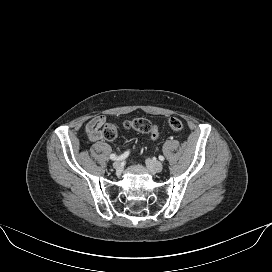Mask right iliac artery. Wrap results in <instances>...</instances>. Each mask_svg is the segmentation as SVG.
I'll return each instance as SVG.
<instances>
[{"label": "right iliac artery", "mask_w": 272, "mask_h": 272, "mask_svg": "<svg viewBox=\"0 0 272 272\" xmlns=\"http://www.w3.org/2000/svg\"><path fill=\"white\" fill-rule=\"evenodd\" d=\"M128 155H129V151H126V152H124L122 155H120V156H116L115 154H111L110 155V159L111 160H123V159H125L126 157H128Z\"/></svg>", "instance_id": "right-iliac-artery-1"}]
</instances>
